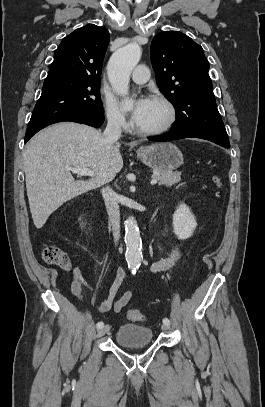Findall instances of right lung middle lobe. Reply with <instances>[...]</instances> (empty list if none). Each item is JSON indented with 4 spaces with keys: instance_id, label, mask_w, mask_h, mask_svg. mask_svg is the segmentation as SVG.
I'll use <instances>...</instances> for the list:
<instances>
[{
    "instance_id": "1",
    "label": "right lung middle lobe",
    "mask_w": 265,
    "mask_h": 407,
    "mask_svg": "<svg viewBox=\"0 0 265 407\" xmlns=\"http://www.w3.org/2000/svg\"><path fill=\"white\" fill-rule=\"evenodd\" d=\"M80 112L104 113L100 97V80L68 76L47 77L27 131L60 117Z\"/></svg>"
}]
</instances>
